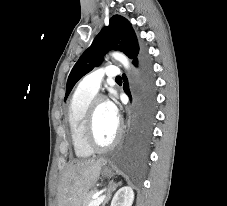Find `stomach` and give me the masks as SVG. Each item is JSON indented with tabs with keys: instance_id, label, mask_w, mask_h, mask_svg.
<instances>
[{
	"instance_id": "obj_1",
	"label": "stomach",
	"mask_w": 227,
	"mask_h": 206,
	"mask_svg": "<svg viewBox=\"0 0 227 206\" xmlns=\"http://www.w3.org/2000/svg\"><path fill=\"white\" fill-rule=\"evenodd\" d=\"M101 173L105 177H112L114 175L112 168L107 165V161L104 162Z\"/></svg>"
}]
</instances>
